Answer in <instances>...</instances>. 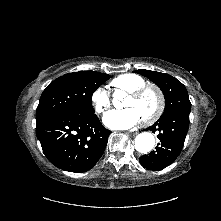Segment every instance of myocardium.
<instances>
[{
  "label": "myocardium",
  "instance_id": "myocardium-1",
  "mask_svg": "<svg viewBox=\"0 0 221 221\" xmlns=\"http://www.w3.org/2000/svg\"><path fill=\"white\" fill-rule=\"evenodd\" d=\"M153 91L158 99V105L156 110L148 117L143 119L144 124H152L157 121L164 112L165 109V96L162 90L154 85V84H145L131 92H129V96L135 99L142 97L146 92Z\"/></svg>",
  "mask_w": 221,
  "mask_h": 221
}]
</instances>
